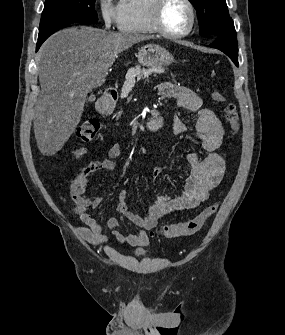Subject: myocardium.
I'll return each instance as SVG.
<instances>
[{"label": "myocardium", "instance_id": "myocardium-1", "mask_svg": "<svg viewBox=\"0 0 285 335\" xmlns=\"http://www.w3.org/2000/svg\"><path fill=\"white\" fill-rule=\"evenodd\" d=\"M154 2H155L154 24H155L156 31L158 33H160L161 35L167 38H180V37L187 35L192 30L194 26V22H195V13H194L192 4L189 1H177V2H181L182 4H184L190 13V19H189V23L187 24V26L177 31L170 30L166 26L165 21H164V12H165L167 5L175 1H154Z\"/></svg>", "mask_w": 285, "mask_h": 335}]
</instances>
